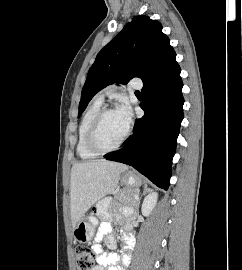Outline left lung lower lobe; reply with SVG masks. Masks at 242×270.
<instances>
[{"label": "left lung lower lobe", "instance_id": "obj_1", "mask_svg": "<svg viewBox=\"0 0 242 270\" xmlns=\"http://www.w3.org/2000/svg\"><path fill=\"white\" fill-rule=\"evenodd\" d=\"M180 71L174 58L143 81L140 107L144 116L136 120L134 133L122 149L104 155L107 160L134 167L165 190L169 187L172 158L183 119Z\"/></svg>", "mask_w": 242, "mask_h": 270}]
</instances>
